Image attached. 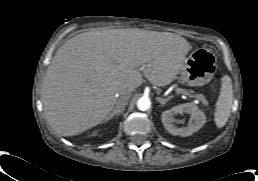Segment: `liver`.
I'll return each instance as SVG.
<instances>
[{"label": "liver", "mask_w": 258, "mask_h": 181, "mask_svg": "<svg viewBox=\"0 0 258 181\" xmlns=\"http://www.w3.org/2000/svg\"><path fill=\"white\" fill-rule=\"evenodd\" d=\"M192 49L169 32L100 29L66 41L47 68L41 86L45 117L61 136H74L110 115L119 96L139 87L144 77L170 84Z\"/></svg>", "instance_id": "1"}]
</instances>
